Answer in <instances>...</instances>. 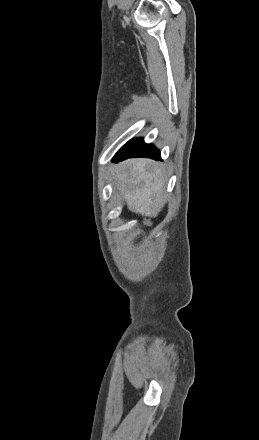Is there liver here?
<instances>
[{
    "label": "liver",
    "mask_w": 259,
    "mask_h": 440,
    "mask_svg": "<svg viewBox=\"0 0 259 440\" xmlns=\"http://www.w3.org/2000/svg\"><path fill=\"white\" fill-rule=\"evenodd\" d=\"M114 183L130 211L156 217L164 206L165 180L157 163L150 159L127 160L116 167Z\"/></svg>",
    "instance_id": "obj_1"
}]
</instances>
